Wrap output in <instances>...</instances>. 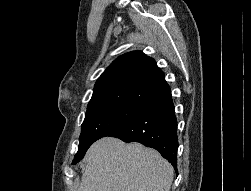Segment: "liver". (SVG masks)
<instances>
[{
    "instance_id": "1",
    "label": "liver",
    "mask_w": 251,
    "mask_h": 191,
    "mask_svg": "<svg viewBox=\"0 0 251 191\" xmlns=\"http://www.w3.org/2000/svg\"><path fill=\"white\" fill-rule=\"evenodd\" d=\"M78 191H170L174 169L159 151L117 137H101L83 161Z\"/></svg>"
}]
</instances>
